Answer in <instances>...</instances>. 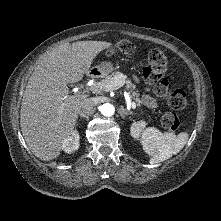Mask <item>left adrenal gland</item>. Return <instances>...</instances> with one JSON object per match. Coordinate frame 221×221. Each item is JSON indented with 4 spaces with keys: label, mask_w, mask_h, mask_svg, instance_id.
Returning a JSON list of instances; mask_svg holds the SVG:
<instances>
[{
    "label": "left adrenal gland",
    "mask_w": 221,
    "mask_h": 221,
    "mask_svg": "<svg viewBox=\"0 0 221 221\" xmlns=\"http://www.w3.org/2000/svg\"><path fill=\"white\" fill-rule=\"evenodd\" d=\"M119 113H120V116L122 117V119H125V116H127V115H133L132 111H127L122 106L119 109Z\"/></svg>",
    "instance_id": "1"
}]
</instances>
